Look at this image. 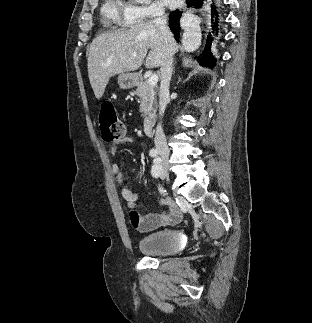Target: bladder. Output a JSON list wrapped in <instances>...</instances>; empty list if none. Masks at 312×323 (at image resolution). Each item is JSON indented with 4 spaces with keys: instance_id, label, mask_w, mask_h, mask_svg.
Segmentation results:
<instances>
[{
    "instance_id": "1",
    "label": "bladder",
    "mask_w": 312,
    "mask_h": 323,
    "mask_svg": "<svg viewBox=\"0 0 312 323\" xmlns=\"http://www.w3.org/2000/svg\"><path fill=\"white\" fill-rule=\"evenodd\" d=\"M138 248L145 256H168L179 250L178 233L171 229H162L142 236Z\"/></svg>"
}]
</instances>
